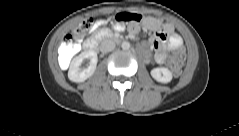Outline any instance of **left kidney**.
I'll return each mask as SVG.
<instances>
[{
  "label": "left kidney",
  "mask_w": 239,
  "mask_h": 136,
  "mask_svg": "<svg viewBox=\"0 0 239 136\" xmlns=\"http://www.w3.org/2000/svg\"><path fill=\"white\" fill-rule=\"evenodd\" d=\"M151 76L158 82L169 83L172 80V73L168 68L158 67L151 70Z\"/></svg>",
  "instance_id": "obj_1"
}]
</instances>
